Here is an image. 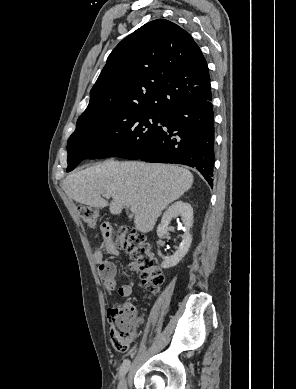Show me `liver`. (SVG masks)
I'll list each match as a JSON object with an SVG mask.
<instances>
[{
  "label": "liver",
  "instance_id": "6515ba94",
  "mask_svg": "<svg viewBox=\"0 0 296 389\" xmlns=\"http://www.w3.org/2000/svg\"><path fill=\"white\" fill-rule=\"evenodd\" d=\"M193 184L192 173L176 165L107 160L68 175L62 188L74 201L95 208L109 206L118 215L135 207L136 230L150 232L162 211ZM101 195H109V204Z\"/></svg>",
  "mask_w": 296,
  "mask_h": 389
}]
</instances>
